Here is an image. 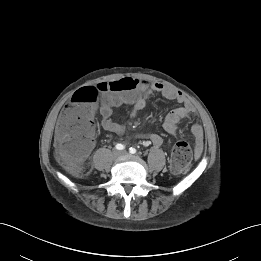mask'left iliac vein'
<instances>
[{
	"label": "left iliac vein",
	"mask_w": 261,
	"mask_h": 261,
	"mask_svg": "<svg viewBox=\"0 0 261 261\" xmlns=\"http://www.w3.org/2000/svg\"><path fill=\"white\" fill-rule=\"evenodd\" d=\"M126 154H127L126 151H122V152H121V155H126Z\"/></svg>",
	"instance_id": "left-iliac-vein-1"
}]
</instances>
